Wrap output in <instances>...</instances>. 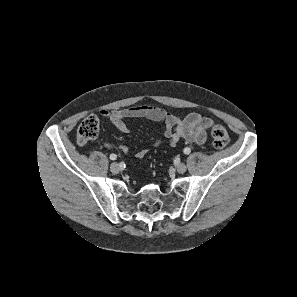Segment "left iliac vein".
<instances>
[{
  "label": "left iliac vein",
  "instance_id": "1",
  "mask_svg": "<svg viewBox=\"0 0 297 297\" xmlns=\"http://www.w3.org/2000/svg\"><path fill=\"white\" fill-rule=\"evenodd\" d=\"M176 169L179 173L183 174L187 170V166L184 163H178Z\"/></svg>",
  "mask_w": 297,
  "mask_h": 297
}]
</instances>
